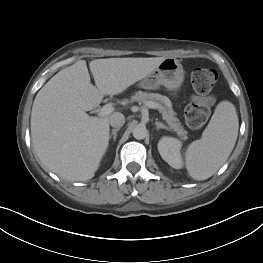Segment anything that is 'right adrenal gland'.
<instances>
[{"label": "right adrenal gland", "instance_id": "right-adrenal-gland-1", "mask_svg": "<svg viewBox=\"0 0 263 263\" xmlns=\"http://www.w3.org/2000/svg\"><path fill=\"white\" fill-rule=\"evenodd\" d=\"M120 130V128H116V129H112V132L109 136V139H111L113 137L114 142L116 141V137H117V132Z\"/></svg>", "mask_w": 263, "mask_h": 263}]
</instances>
